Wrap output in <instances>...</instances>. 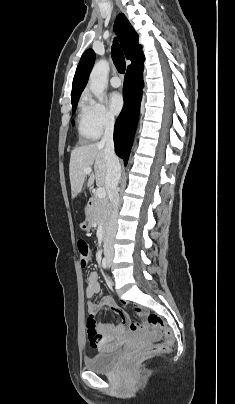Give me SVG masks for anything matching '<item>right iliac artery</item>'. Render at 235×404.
<instances>
[{"label": "right iliac artery", "instance_id": "1", "mask_svg": "<svg viewBox=\"0 0 235 404\" xmlns=\"http://www.w3.org/2000/svg\"><path fill=\"white\" fill-rule=\"evenodd\" d=\"M102 265L106 269V267H107V259L106 258H103Z\"/></svg>", "mask_w": 235, "mask_h": 404}]
</instances>
